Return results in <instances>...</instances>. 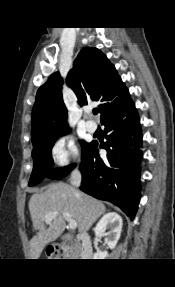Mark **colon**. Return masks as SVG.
<instances>
[{
    "label": "colon",
    "mask_w": 175,
    "mask_h": 287,
    "mask_svg": "<svg viewBox=\"0 0 175 287\" xmlns=\"http://www.w3.org/2000/svg\"><path fill=\"white\" fill-rule=\"evenodd\" d=\"M47 255L49 257H57L59 255V250L56 247L50 246L47 250Z\"/></svg>",
    "instance_id": "obj_1"
}]
</instances>
